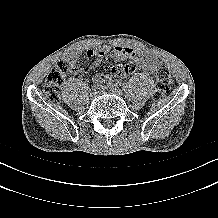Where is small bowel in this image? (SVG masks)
<instances>
[{
    "label": "small bowel",
    "instance_id": "c3829d8e",
    "mask_svg": "<svg viewBox=\"0 0 218 218\" xmlns=\"http://www.w3.org/2000/svg\"><path fill=\"white\" fill-rule=\"evenodd\" d=\"M108 53H111L112 57L116 60H128L127 63L123 65V74L119 77H126L132 74L136 69H140L148 74H154L159 63L157 57L148 51H137L132 48L123 46H115L111 48L108 45H102L88 49L84 52L87 58H95V65H98L102 58L105 57ZM81 55V52L76 51L64 57L65 61L70 63L71 72L78 73L83 71L85 73H89L92 70L91 66H85L83 68L80 67L78 59ZM98 77L100 76H95V78Z\"/></svg>",
    "mask_w": 218,
    "mask_h": 218
}]
</instances>
